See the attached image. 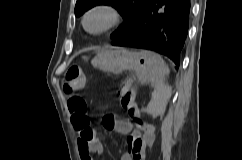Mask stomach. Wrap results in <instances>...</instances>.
Returning <instances> with one entry per match:
<instances>
[{"mask_svg": "<svg viewBox=\"0 0 242 160\" xmlns=\"http://www.w3.org/2000/svg\"><path fill=\"white\" fill-rule=\"evenodd\" d=\"M151 60L152 52L113 49L101 51L91 63L97 69L116 74L126 70H135L138 78L148 83L153 76Z\"/></svg>", "mask_w": 242, "mask_h": 160, "instance_id": "1", "label": "stomach"}]
</instances>
